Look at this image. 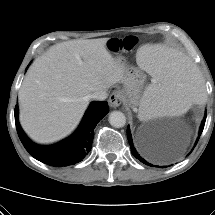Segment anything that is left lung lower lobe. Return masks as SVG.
Listing matches in <instances>:
<instances>
[{
	"instance_id": "1",
	"label": "left lung lower lobe",
	"mask_w": 215,
	"mask_h": 215,
	"mask_svg": "<svg viewBox=\"0 0 215 215\" xmlns=\"http://www.w3.org/2000/svg\"><path fill=\"white\" fill-rule=\"evenodd\" d=\"M205 121H206V113H205V116H204V119L201 123V126H200V130H199V136L196 140V143L195 145L197 144L198 140H199V137L203 131V128H204V125H205ZM127 137H128V141H129V144H130V148H131V152L132 154L135 156V158H137L138 160H140L142 163L148 165V166H153L151 163H149L146 159H144L142 157V155H140L137 150L135 149L134 145H133V141H132V137H131V133H130V129H129V126L127 128ZM165 166H163L162 168H164Z\"/></svg>"
}]
</instances>
